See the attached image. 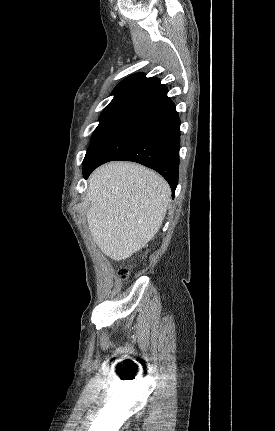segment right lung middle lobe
Listing matches in <instances>:
<instances>
[{
    "label": "right lung middle lobe",
    "instance_id": "right-lung-middle-lobe-1",
    "mask_svg": "<svg viewBox=\"0 0 275 431\" xmlns=\"http://www.w3.org/2000/svg\"><path fill=\"white\" fill-rule=\"evenodd\" d=\"M132 111H116L102 113L100 123L93 133V140L83 161V168L95 158L101 149L119 131V129L134 115Z\"/></svg>",
    "mask_w": 275,
    "mask_h": 431
}]
</instances>
